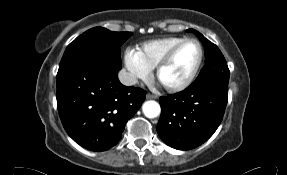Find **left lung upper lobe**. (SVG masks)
Returning a JSON list of instances; mask_svg holds the SVG:
<instances>
[{
    "label": "left lung upper lobe",
    "mask_w": 287,
    "mask_h": 175,
    "mask_svg": "<svg viewBox=\"0 0 287 175\" xmlns=\"http://www.w3.org/2000/svg\"><path fill=\"white\" fill-rule=\"evenodd\" d=\"M187 31L193 32L202 41L206 58L205 66L191 86L196 87L208 83L228 85L229 69L219 48L196 30L189 29Z\"/></svg>",
    "instance_id": "left-lung-upper-lobe-1"
}]
</instances>
